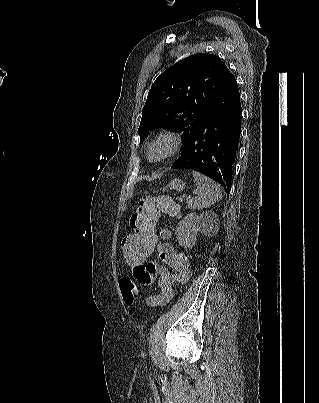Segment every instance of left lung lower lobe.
Returning a JSON list of instances; mask_svg holds the SVG:
<instances>
[{
  "label": "left lung lower lobe",
  "instance_id": "left-lung-lower-lobe-1",
  "mask_svg": "<svg viewBox=\"0 0 319 403\" xmlns=\"http://www.w3.org/2000/svg\"><path fill=\"white\" fill-rule=\"evenodd\" d=\"M241 117L239 89L231 73L171 168L199 171L220 183L229 194Z\"/></svg>",
  "mask_w": 319,
  "mask_h": 403
}]
</instances>
